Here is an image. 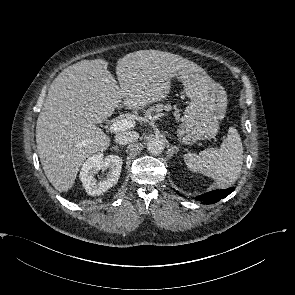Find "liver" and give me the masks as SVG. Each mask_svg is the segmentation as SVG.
<instances>
[{"label":"liver","mask_w":295,"mask_h":295,"mask_svg":"<svg viewBox=\"0 0 295 295\" xmlns=\"http://www.w3.org/2000/svg\"><path fill=\"white\" fill-rule=\"evenodd\" d=\"M205 73L199 65L179 55L141 50L117 62L118 82L103 59L82 60L65 68L51 83L36 125L41 165L59 192L75 183L84 161L110 145L102 123L123 101L131 110L163 101L171 79Z\"/></svg>","instance_id":"obj_1"}]
</instances>
